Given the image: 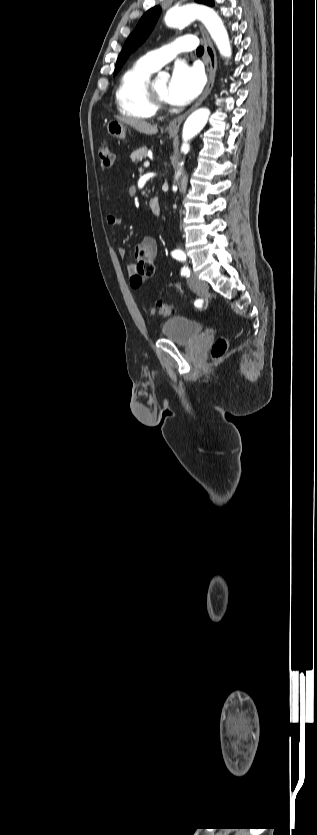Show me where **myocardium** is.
Instances as JSON below:
<instances>
[{"label":"myocardium","instance_id":"1","mask_svg":"<svg viewBox=\"0 0 317 835\" xmlns=\"http://www.w3.org/2000/svg\"><path fill=\"white\" fill-rule=\"evenodd\" d=\"M147 93H148V96H149L150 100L152 101V103H153V104H154L157 108H160V107H164V106H165V104H166V100H164L163 98H161V97L157 94V92H156V91H155V89H154L153 82H149V83H148V85H147Z\"/></svg>","mask_w":317,"mask_h":835}]
</instances>
